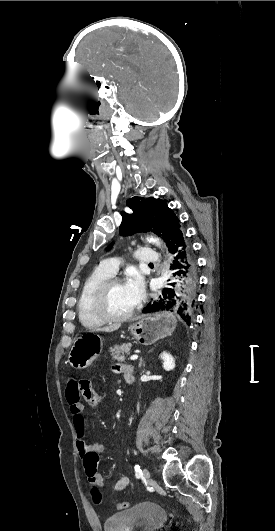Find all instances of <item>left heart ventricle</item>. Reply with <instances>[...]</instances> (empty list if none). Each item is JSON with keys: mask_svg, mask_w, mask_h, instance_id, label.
<instances>
[{"mask_svg": "<svg viewBox=\"0 0 275 531\" xmlns=\"http://www.w3.org/2000/svg\"><path fill=\"white\" fill-rule=\"evenodd\" d=\"M107 306L109 311L116 316L124 315L134 308L135 305L131 300L124 282L116 283L110 287Z\"/></svg>", "mask_w": 275, "mask_h": 531, "instance_id": "1", "label": "left heart ventricle"}]
</instances>
